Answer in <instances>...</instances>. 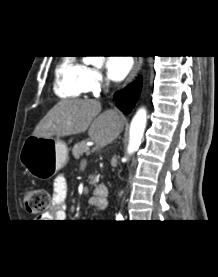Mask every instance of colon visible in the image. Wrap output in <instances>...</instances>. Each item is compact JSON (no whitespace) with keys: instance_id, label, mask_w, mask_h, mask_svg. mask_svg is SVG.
Listing matches in <instances>:
<instances>
[{"instance_id":"obj_1","label":"colon","mask_w":218,"mask_h":277,"mask_svg":"<svg viewBox=\"0 0 218 277\" xmlns=\"http://www.w3.org/2000/svg\"><path fill=\"white\" fill-rule=\"evenodd\" d=\"M50 201V193L45 188H29L23 195V203L27 212L34 215L44 213L49 208Z\"/></svg>"}]
</instances>
